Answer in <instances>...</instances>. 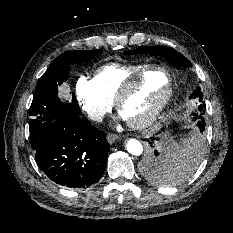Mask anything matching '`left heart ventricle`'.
Instances as JSON below:
<instances>
[{
    "instance_id": "b2bd125f",
    "label": "left heart ventricle",
    "mask_w": 233,
    "mask_h": 233,
    "mask_svg": "<svg viewBox=\"0 0 233 233\" xmlns=\"http://www.w3.org/2000/svg\"><path fill=\"white\" fill-rule=\"evenodd\" d=\"M167 82V76L163 72L151 73L126 98L121 107V115L126 120H137L144 116L162 96Z\"/></svg>"
}]
</instances>
